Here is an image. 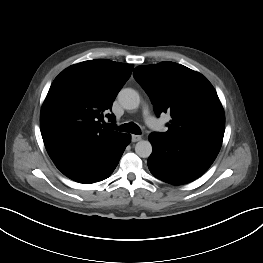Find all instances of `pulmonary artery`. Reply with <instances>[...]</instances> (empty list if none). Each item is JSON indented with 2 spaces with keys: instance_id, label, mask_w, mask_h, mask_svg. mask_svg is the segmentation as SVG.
<instances>
[{
  "instance_id": "obj_1",
  "label": "pulmonary artery",
  "mask_w": 263,
  "mask_h": 263,
  "mask_svg": "<svg viewBox=\"0 0 263 263\" xmlns=\"http://www.w3.org/2000/svg\"><path fill=\"white\" fill-rule=\"evenodd\" d=\"M144 119L147 125L154 127L157 124L156 119L149 113V111H144Z\"/></svg>"
}]
</instances>
